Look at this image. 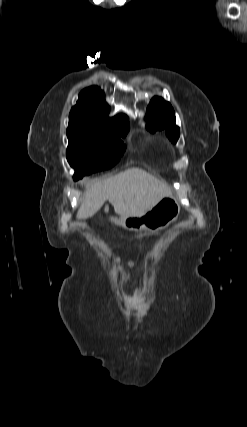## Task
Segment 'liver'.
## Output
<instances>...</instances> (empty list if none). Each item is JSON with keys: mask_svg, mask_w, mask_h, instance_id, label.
I'll return each instance as SVG.
<instances>
[{"mask_svg": "<svg viewBox=\"0 0 247 427\" xmlns=\"http://www.w3.org/2000/svg\"><path fill=\"white\" fill-rule=\"evenodd\" d=\"M82 184L86 190L77 219L92 217L106 200L121 218L142 215L172 194L165 183L140 168H130L104 180H85Z\"/></svg>", "mask_w": 247, "mask_h": 427, "instance_id": "liver-1", "label": "liver"}]
</instances>
